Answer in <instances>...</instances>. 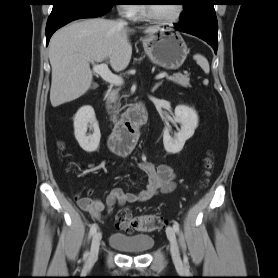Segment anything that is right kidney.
<instances>
[{
    "mask_svg": "<svg viewBox=\"0 0 278 278\" xmlns=\"http://www.w3.org/2000/svg\"><path fill=\"white\" fill-rule=\"evenodd\" d=\"M88 127L93 129V134L86 135ZM74 134L84 151L91 153L97 150L101 134L91 106H83L77 111L74 117Z\"/></svg>",
    "mask_w": 278,
    "mask_h": 278,
    "instance_id": "right-kidney-1",
    "label": "right kidney"
}]
</instances>
